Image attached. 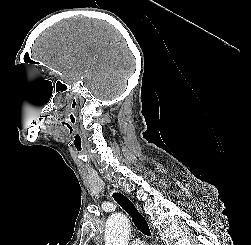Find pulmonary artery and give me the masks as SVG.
Here are the masks:
<instances>
[{
	"instance_id": "pulmonary-artery-1",
	"label": "pulmonary artery",
	"mask_w": 251,
	"mask_h": 245,
	"mask_svg": "<svg viewBox=\"0 0 251 245\" xmlns=\"http://www.w3.org/2000/svg\"><path fill=\"white\" fill-rule=\"evenodd\" d=\"M130 245H146V242L142 241V240H139V239H136V240H133Z\"/></svg>"
}]
</instances>
